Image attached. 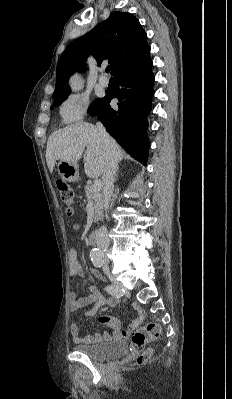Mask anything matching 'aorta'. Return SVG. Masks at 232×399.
<instances>
[{"label": "aorta", "instance_id": "762f6f07", "mask_svg": "<svg viewBox=\"0 0 232 399\" xmlns=\"http://www.w3.org/2000/svg\"><path fill=\"white\" fill-rule=\"evenodd\" d=\"M72 88L77 91L81 88V80L78 76H74L70 80ZM95 253V252H94Z\"/></svg>", "mask_w": 232, "mask_h": 399}]
</instances>
